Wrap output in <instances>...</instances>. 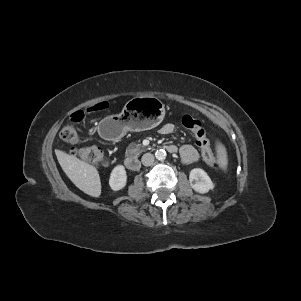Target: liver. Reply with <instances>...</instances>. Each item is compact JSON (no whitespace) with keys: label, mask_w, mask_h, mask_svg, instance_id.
Instances as JSON below:
<instances>
[{"label":"liver","mask_w":301,"mask_h":301,"mask_svg":"<svg viewBox=\"0 0 301 301\" xmlns=\"http://www.w3.org/2000/svg\"><path fill=\"white\" fill-rule=\"evenodd\" d=\"M58 162L68 178L84 193L99 197L101 194V181L97 169L61 150H55Z\"/></svg>","instance_id":"6515ba94"}]
</instances>
